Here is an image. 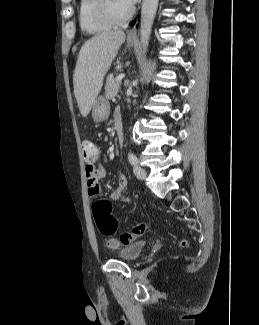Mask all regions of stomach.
Segmentation results:
<instances>
[{
  "label": "stomach",
  "mask_w": 259,
  "mask_h": 325,
  "mask_svg": "<svg viewBox=\"0 0 259 325\" xmlns=\"http://www.w3.org/2000/svg\"><path fill=\"white\" fill-rule=\"evenodd\" d=\"M128 46H133L132 40H127ZM110 112V105L106 98L98 97L92 105V117L95 122H101L108 118Z\"/></svg>",
  "instance_id": "1"
}]
</instances>
